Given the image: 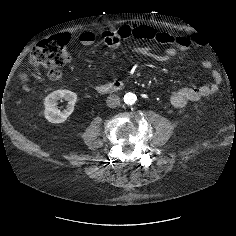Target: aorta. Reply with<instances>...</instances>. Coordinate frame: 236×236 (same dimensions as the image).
Listing matches in <instances>:
<instances>
[{
	"mask_svg": "<svg viewBox=\"0 0 236 236\" xmlns=\"http://www.w3.org/2000/svg\"><path fill=\"white\" fill-rule=\"evenodd\" d=\"M137 101V96L132 93V92H128L124 95V102L127 105H133L135 104Z\"/></svg>",
	"mask_w": 236,
	"mask_h": 236,
	"instance_id": "1",
	"label": "aorta"
}]
</instances>
